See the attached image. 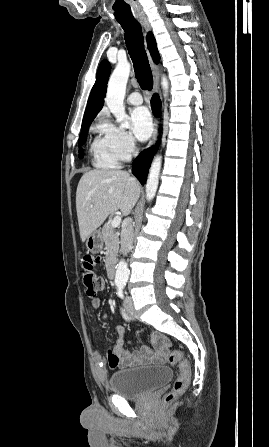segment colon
Instances as JSON below:
<instances>
[{
  "mask_svg": "<svg viewBox=\"0 0 269 447\" xmlns=\"http://www.w3.org/2000/svg\"><path fill=\"white\" fill-rule=\"evenodd\" d=\"M84 261L82 263V283L85 288V295L87 298H95L97 293L103 289L104 282L102 278L98 277L93 271H102L103 264L100 253H85ZM107 362L111 370L119 368V357L111 349L107 351ZM167 362L170 365H178L179 374L175 379L171 390L164 396V402L169 404L173 402L176 397L182 394L190 385L191 369L188 360L180 351H169L167 354Z\"/></svg>",
  "mask_w": 269,
  "mask_h": 447,
  "instance_id": "5ec220e1",
  "label": "colon"
}]
</instances>
